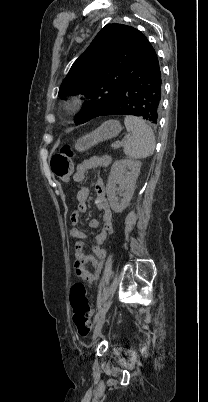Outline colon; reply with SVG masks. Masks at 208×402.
Instances as JSON below:
<instances>
[{"label":"colon","mask_w":208,"mask_h":402,"mask_svg":"<svg viewBox=\"0 0 208 402\" xmlns=\"http://www.w3.org/2000/svg\"><path fill=\"white\" fill-rule=\"evenodd\" d=\"M74 152L68 144L53 155L50 168L53 174L61 180H69L72 175V159ZM71 305L73 308V321L78 333L85 337L91 329L92 308L87 298L85 286L81 282H75L71 287Z\"/></svg>","instance_id":"1"}]
</instances>
